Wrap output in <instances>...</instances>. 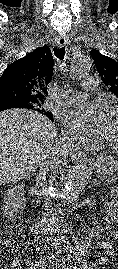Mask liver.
<instances>
[{"label":"liver","mask_w":118,"mask_h":269,"mask_svg":"<svg viewBox=\"0 0 118 269\" xmlns=\"http://www.w3.org/2000/svg\"><path fill=\"white\" fill-rule=\"evenodd\" d=\"M56 138L55 125L38 112L18 108L0 112V184L33 174L51 155Z\"/></svg>","instance_id":"1"}]
</instances>
